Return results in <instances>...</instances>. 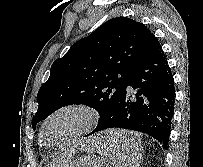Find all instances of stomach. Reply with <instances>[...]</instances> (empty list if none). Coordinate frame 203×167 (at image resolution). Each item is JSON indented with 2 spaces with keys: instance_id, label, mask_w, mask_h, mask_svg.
Segmentation results:
<instances>
[{
  "instance_id": "1",
  "label": "stomach",
  "mask_w": 203,
  "mask_h": 167,
  "mask_svg": "<svg viewBox=\"0 0 203 167\" xmlns=\"http://www.w3.org/2000/svg\"><path fill=\"white\" fill-rule=\"evenodd\" d=\"M106 136H107V133L95 138L92 141L94 143V145L92 146L91 150L97 151L100 148V145L97 144V142L100 141V139H102V137H106ZM104 142H107V141H104ZM105 160H108L107 157H105V156L97 157L95 155H84V156L78 157L75 160H73L72 162H70L68 167H106Z\"/></svg>"
}]
</instances>
